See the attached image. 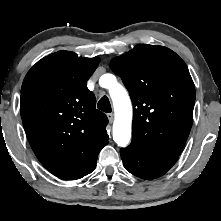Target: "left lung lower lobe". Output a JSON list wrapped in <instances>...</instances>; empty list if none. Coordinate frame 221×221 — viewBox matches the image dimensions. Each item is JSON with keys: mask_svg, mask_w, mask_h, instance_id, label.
Instances as JSON below:
<instances>
[{"mask_svg": "<svg viewBox=\"0 0 221 221\" xmlns=\"http://www.w3.org/2000/svg\"><path fill=\"white\" fill-rule=\"evenodd\" d=\"M123 165L131 174L151 180L165 174L178 160V157L150 152L131 142L120 151Z\"/></svg>", "mask_w": 221, "mask_h": 221, "instance_id": "1", "label": "left lung lower lobe"}]
</instances>
